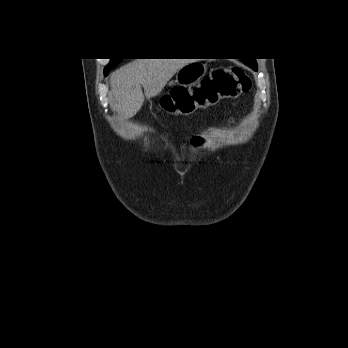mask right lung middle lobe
Returning <instances> with one entry per match:
<instances>
[{
  "label": "right lung middle lobe",
  "mask_w": 348,
  "mask_h": 348,
  "mask_svg": "<svg viewBox=\"0 0 348 348\" xmlns=\"http://www.w3.org/2000/svg\"><path fill=\"white\" fill-rule=\"evenodd\" d=\"M122 59H111L110 63L105 67L104 71L114 68Z\"/></svg>",
  "instance_id": "dd1d6c3e"
}]
</instances>
